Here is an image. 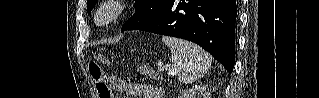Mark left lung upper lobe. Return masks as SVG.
I'll return each instance as SVG.
<instances>
[{
	"label": "left lung upper lobe",
	"mask_w": 319,
	"mask_h": 98,
	"mask_svg": "<svg viewBox=\"0 0 319 98\" xmlns=\"http://www.w3.org/2000/svg\"><path fill=\"white\" fill-rule=\"evenodd\" d=\"M136 10L135 14L124 23L121 31L125 30H137L140 27L151 22L160 12L164 0H135ZM97 3V0H87L88 14Z\"/></svg>",
	"instance_id": "left-lung-upper-lobe-1"
}]
</instances>
